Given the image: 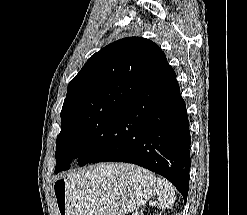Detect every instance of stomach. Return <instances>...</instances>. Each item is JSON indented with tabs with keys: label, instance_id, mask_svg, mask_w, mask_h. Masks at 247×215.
<instances>
[{
	"label": "stomach",
	"instance_id": "1",
	"mask_svg": "<svg viewBox=\"0 0 247 215\" xmlns=\"http://www.w3.org/2000/svg\"><path fill=\"white\" fill-rule=\"evenodd\" d=\"M102 166L54 180L58 215H124L152 197L156 180L150 171L115 164V170L107 173Z\"/></svg>",
	"mask_w": 247,
	"mask_h": 215
}]
</instances>
